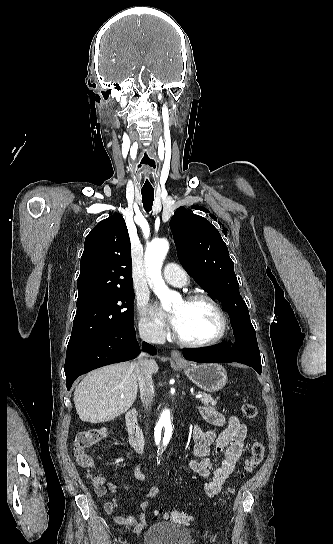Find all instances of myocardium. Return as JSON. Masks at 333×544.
Listing matches in <instances>:
<instances>
[{
    "instance_id": "myocardium-1",
    "label": "myocardium",
    "mask_w": 333,
    "mask_h": 544,
    "mask_svg": "<svg viewBox=\"0 0 333 544\" xmlns=\"http://www.w3.org/2000/svg\"><path fill=\"white\" fill-rule=\"evenodd\" d=\"M199 301H205L208 302L217 312L219 319H220V328L218 333L211 339L202 341V342H194L189 341L184 338H182L178 332L174 331V339L181 345L189 348H205L213 346L217 343H219L226 335L228 330V317L227 314L222 306V304L213 296L206 294V293H195L191 294L186 297L185 302L186 303H195Z\"/></svg>"
}]
</instances>
